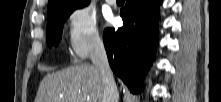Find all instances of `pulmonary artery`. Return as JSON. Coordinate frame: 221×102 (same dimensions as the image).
I'll return each mask as SVG.
<instances>
[{
	"label": "pulmonary artery",
	"instance_id": "pulmonary-artery-1",
	"mask_svg": "<svg viewBox=\"0 0 221 102\" xmlns=\"http://www.w3.org/2000/svg\"><path fill=\"white\" fill-rule=\"evenodd\" d=\"M106 2L110 5H114L116 0H106Z\"/></svg>",
	"mask_w": 221,
	"mask_h": 102
}]
</instances>
